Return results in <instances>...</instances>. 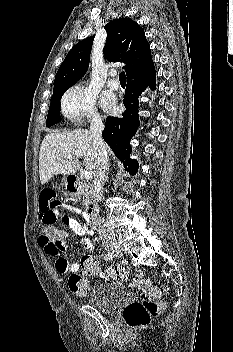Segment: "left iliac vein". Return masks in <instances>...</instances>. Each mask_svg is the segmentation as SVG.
I'll list each match as a JSON object with an SVG mask.
<instances>
[{"instance_id":"4c4485c4","label":"left iliac vein","mask_w":233,"mask_h":352,"mask_svg":"<svg viewBox=\"0 0 233 352\" xmlns=\"http://www.w3.org/2000/svg\"><path fill=\"white\" fill-rule=\"evenodd\" d=\"M114 256H122V251L120 250V248H116V250L113 252Z\"/></svg>"}]
</instances>
